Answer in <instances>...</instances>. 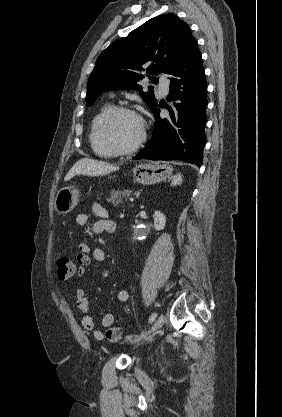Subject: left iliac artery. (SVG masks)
<instances>
[{
	"label": "left iliac artery",
	"mask_w": 282,
	"mask_h": 417,
	"mask_svg": "<svg viewBox=\"0 0 282 417\" xmlns=\"http://www.w3.org/2000/svg\"><path fill=\"white\" fill-rule=\"evenodd\" d=\"M156 316H157L156 313L152 314L149 318V323H152L155 320ZM131 337L132 335H128L126 338L130 339Z\"/></svg>",
	"instance_id": "1"
}]
</instances>
